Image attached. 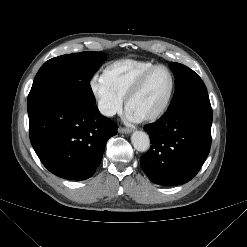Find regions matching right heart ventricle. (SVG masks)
I'll list each match as a JSON object with an SVG mask.
<instances>
[{
    "label": "right heart ventricle",
    "instance_id": "e07e8e85",
    "mask_svg": "<svg viewBox=\"0 0 247 247\" xmlns=\"http://www.w3.org/2000/svg\"><path fill=\"white\" fill-rule=\"evenodd\" d=\"M153 65L150 61L121 59L110 63L104 72L114 88L124 97L136 80Z\"/></svg>",
    "mask_w": 247,
    "mask_h": 247
}]
</instances>
